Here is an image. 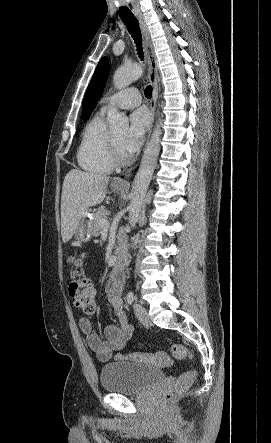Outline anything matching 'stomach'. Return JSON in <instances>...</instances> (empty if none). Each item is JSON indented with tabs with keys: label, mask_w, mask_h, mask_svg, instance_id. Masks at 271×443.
I'll return each mask as SVG.
<instances>
[{
	"label": "stomach",
	"mask_w": 271,
	"mask_h": 443,
	"mask_svg": "<svg viewBox=\"0 0 271 443\" xmlns=\"http://www.w3.org/2000/svg\"><path fill=\"white\" fill-rule=\"evenodd\" d=\"M115 180H117V178H115ZM111 188L113 192H117V194L118 192H121V190H124V188H121V186H112V184ZM92 220L93 218L91 212H86L83 218H81L74 233L77 241H89V239H91L93 235V225L90 222H92Z\"/></svg>",
	"instance_id": "obj_1"
}]
</instances>
